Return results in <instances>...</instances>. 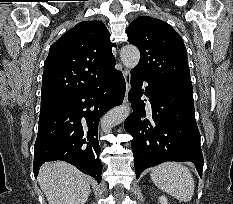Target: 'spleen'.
I'll use <instances>...</instances> for the list:
<instances>
[{"label": "spleen", "instance_id": "1", "mask_svg": "<svg viewBox=\"0 0 233 204\" xmlns=\"http://www.w3.org/2000/svg\"><path fill=\"white\" fill-rule=\"evenodd\" d=\"M153 183L179 201L189 202L194 194V179L190 170L177 162H166L150 173Z\"/></svg>", "mask_w": 233, "mask_h": 204}]
</instances>
